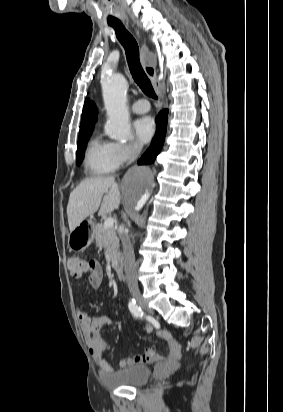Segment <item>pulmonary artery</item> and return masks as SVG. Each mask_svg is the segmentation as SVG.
<instances>
[{"label":"pulmonary artery","mask_w":283,"mask_h":412,"mask_svg":"<svg viewBox=\"0 0 283 412\" xmlns=\"http://www.w3.org/2000/svg\"><path fill=\"white\" fill-rule=\"evenodd\" d=\"M149 109H150L149 103L145 99L137 100L132 106L133 112H135L137 114L147 113L149 111Z\"/></svg>","instance_id":"pulmonary-artery-1"}]
</instances>
